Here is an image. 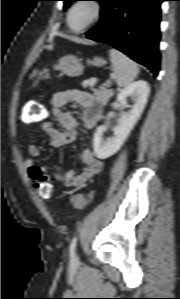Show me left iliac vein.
Returning a JSON list of instances; mask_svg holds the SVG:
<instances>
[{"mask_svg":"<svg viewBox=\"0 0 180 299\" xmlns=\"http://www.w3.org/2000/svg\"><path fill=\"white\" fill-rule=\"evenodd\" d=\"M78 261H79V259H78L77 254H76V253L73 254V255H72V262H73V263H78Z\"/></svg>","mask_w":180,"mask_h":299,"instance_id":"obj_1","label":"left iliac vein"}]
</instances>
